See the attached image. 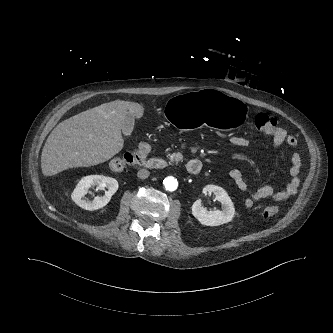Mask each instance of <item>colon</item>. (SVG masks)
Returning a JSON list of instances; mask_svg holds the SVG:
<instances>
[{"label":"colon","instance_id":"obj_1","mask_svg":"<svg viewBox=\"0 0 333 333\" xmlns=\"http://www.w3.org/2000/svg\"><path fill=\"white\" fill-rule=\"evenodd\" d=\"M254 125L258 131L267 135H273L278 127L276 120L265 113H259L256 115ZM147 154V150L127 152L121 156L113 158L110 161L109 166L113 171H121L128 166L143 164ZM277 213L278 207L275 205H268L264 207L261 212L262 216L265 218L274 216Z\"/></svg>","mask_w":333,"mask_h":333}]
</instances>
